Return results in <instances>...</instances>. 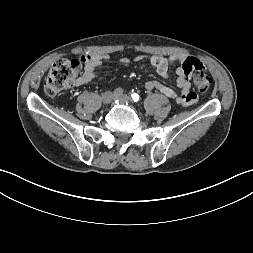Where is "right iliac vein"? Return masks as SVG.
Wrapping results in <instances>:
<instances>
[{
    "label": "right iliac vein",
    "instance_id": "right-iliac-vein-1",
    "mask_svg": "<svg viewBox=\"0 0 253 253\" xmlns=\"http://www.w3.org/2000/svg\"><path fill=\"white\" fill-rule=\"evenodd\" d=\"M112 99H113V94L110 91L103 93L101 96V101L105 105L109 104L112 101Z\"/></svg>",
    "mask_w": 253,
    "mask_h": 253
}]
</instances>
